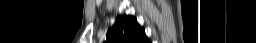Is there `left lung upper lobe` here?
Returning <instances> with one entry per match:
<instances>
[{
    "label": "left lung upper lobe",
    "mask_w": 256,
    "mask_h": 43,
    "mask_svg": "<svg viewBox=\"0 0 256 43\" xmlns=\"http://www.w3.org/2000/svg\"><path fill=\"white\" fill-rule=\"evenodd\" d=\"M106 36L105 43H151L136 18L125 14L117 17Z\"/></svg>",
    "instance_id": "left-lung-upper-lobe-1"
}]
</instances>
